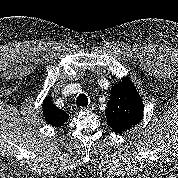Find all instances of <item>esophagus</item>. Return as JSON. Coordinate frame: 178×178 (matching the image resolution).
Instances as JSON below:
<instances>
[{"mask_svg":"<svg viewBox=\"0 0 178 178\" xmlns=\"http://www.w3.org/2000/svg\"><path fill=\"white\" fill-rule=\"evenodd\" d=\"M93 108L94 107L92 105L87 106V107L82 106V107L79 108V110H81V111H91V110H93Z\"/></svg>","mask_w":178,"mask_h":178,"instance_id":"esophagus-1","label":"esophagus"}]
</instances>
